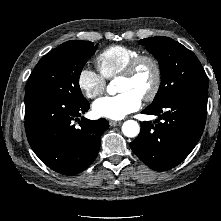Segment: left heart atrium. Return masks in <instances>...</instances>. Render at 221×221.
<instances>
[{
  "label": "left heart atrium",
  "mask_w": 221,
  "mask_h": 221,
  "mask_svg": "<svg viewBox=\"0 0 221 221\" xmlns=\"http://www.w3.org/2000/svg\"><path fill=\"white\" fill-rule=\"evenodd\" d=\"M142 98L133 91L121 92L115 96H105L96 100L92 110L97 117L120 120L138 110Z\"/></svg>",
  "instance_id": "39dd6f15"
}]
</instances>
